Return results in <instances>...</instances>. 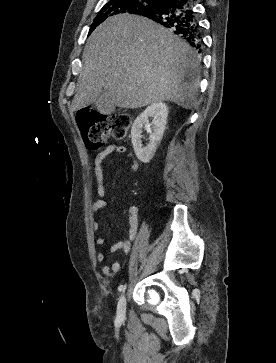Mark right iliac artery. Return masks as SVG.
<instances>
[{
    "label": "right iliac artery",
    "mask_w": 276,
    "mask_h": 363,
    "mask_svg": "<svg viewBox=\"0 0 276 363\" xmlns=\"http://www.w3.org/2000/svg\"><path fill=\"white\" fill-rule=\"evenodd\" d=\"M125 289H126V284H124V285H120V286L118 287V290H119V292H121V293H123V292L125 291Z\"/></svg>",
    "instance_id": "obj_1"
}]
</instances>
